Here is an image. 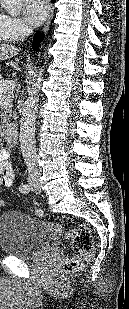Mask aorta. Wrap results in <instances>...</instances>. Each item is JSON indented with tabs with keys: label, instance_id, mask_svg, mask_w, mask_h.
<instances>
[{
	"label": "aorta",
	"instance_id": "aorta-1",
	"mask_svg": "<svg viewBox=\"0 0 129 309\" xmlns=\"http://www.w3.org/2000/svg\"><path fill=\"white\" fill-rule=\"evenodd\" d=\"M24 0H4L5 10L11 16L18 15ZM44 68L38 67L32 79V85L22 107L20 120V146L24 157H36L35 124L38 113L40 88Z\"/></svg>",
	"mask_w": 129,
	"mask_h": 309
}]
</instances>
